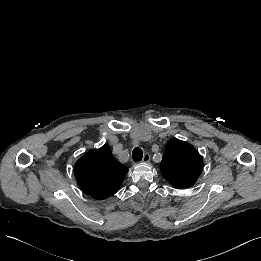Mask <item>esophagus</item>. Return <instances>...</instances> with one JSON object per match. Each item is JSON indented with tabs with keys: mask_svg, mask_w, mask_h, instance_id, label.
Returning a JSON list of instances; mask_svg holds the SVG:
<instances>
[{
	"mask_svg": "<svg viewBox=\"0 0 261 261\" xmlns=\"http://www.w3.org/2000/svg\"><path fill=\"white\" fill-rule=\"evenodd\" d=\"M142 161L144 163H148L150 161V155L148 153H145Z\"/></svg>",
	"mask_w": 261,
	"mask_h": 261,
	"instance_id": "obj_1",
	"label": "esophagus"
}]
</instances>
